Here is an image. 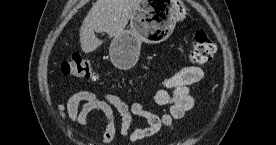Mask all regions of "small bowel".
Wrapping results in <instances>:
<instances>
[{
  "label": "small bowel",
  "mask_w": 276,
  "mask_h": 145,
  "mask_svg": "<svg viewBox=\"0 0 276 145\" xmlns=\"http://www.w3.org/2000/svg\"><path fill=\"white\" fill-rule=\"evenodd\" d=\"M203 76L204 72L200 67L188 66L163 80L160 89L153 95V101L163 108L161 115L144 109L139 102L128 105L114 94H108L105 99H101L91 91H79L62 98L57 104V111L62 120L69 119L80 127L87 124L91 112H101L105 119L101 144L109 145L116 135L113 112L115 109L121 117V136L134 143L157 135L163 126L173 128L174 122L183 118L193 108L195 99L191 94L192 87ZM134 116L144 118L147 126L134 127Z\"/></svg>",
  "instance_id": "1"
}]
</instances>
